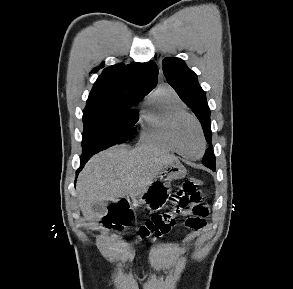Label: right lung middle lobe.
I'll return each instance as SVG.
<instances>
[{
  "label": "right lung middle lobe",
  "mask_w": 293,
  "mask_h": 289,
  "mask_svg": "<svg viewBox=\"0 0 293 289\" xmlns=\"http://www.w3.org/2000/svg\"><path fill=\"white\" fill-rule=\"evenodd\" d=\"M138 98H126L109 103L87 104L83 112V155L93 154L134 136L137 113L129 108Z\"/></svg>",
  "instance_id": "obj_1"
}]
</instances>
